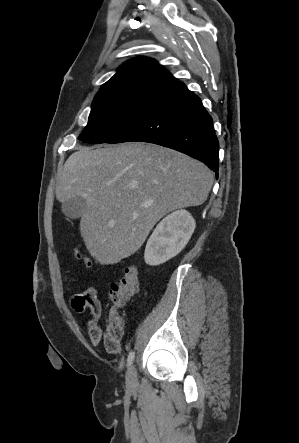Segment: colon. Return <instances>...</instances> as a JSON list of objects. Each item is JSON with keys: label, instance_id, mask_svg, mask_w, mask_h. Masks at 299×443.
Returning a JSON list of instances; mask_svg holds the SVG:
<instances>
[{"label": "colon", "instance_id": "obj_1", "mask_svg": "<svg viewBox=\"0 0 299 443\" xmlns=\"http://www.w3.org/2000/svg\"><path fill=\"white\" fill-rule=\"evenodd\" d=\"M75 255L83 260L85 264L92 265L93 261L82 251L80 246L75 247ZM139 289L138 268L135 265H130L125 268L121 277L112 283L109 290V300L113 304V308L106 316V331L114 336H120L124 327V319L117 314L115 307L122 306L131 295L136 293Z\"/></svg>", "mask_w": 299, "mask_h": 443}]
</instances>
